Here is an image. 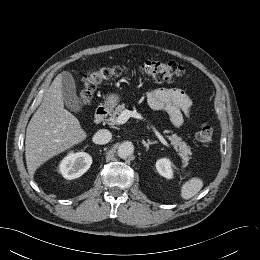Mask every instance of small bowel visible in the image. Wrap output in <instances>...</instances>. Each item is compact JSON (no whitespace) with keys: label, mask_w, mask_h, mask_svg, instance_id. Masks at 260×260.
Masks as SVG:
<instances>
[{"label":"small bowel","mask_w":260,"mask_h":260,"mask_svg":"<svg viewBox=\"0 0 260 260\" xmlns=\"http://www.w3.org/2000/svg\"><path fill=\"white\" fill-rule=\"evenodd\" d=\"M148 104L155 109L165 110L174 127L179 128L184 116H191L192 103L189 97L177 88H158L147 94Z\"/></svg>","instance_id":"c3829d8e"}]
</instances>
